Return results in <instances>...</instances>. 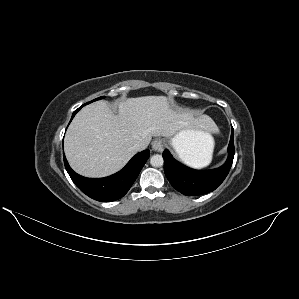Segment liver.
<instances>
[{
	"label": "liver",
	"instance_id": "liver-1",
	"mask_svg": "<svg viewBox=\"0 0 299 299\" xmlns=\"http://www.w3.org/2000/svg\"><path fill=\"white\" fill-rule=\"evenodd\" d=\"M115 115L106 102L84 107L73 119L64 139L70 166L86 177H105L120 169L135 155L138 141L149 144L152 137L171 138L190 120L172 108L165 96L128 98ZM195 127L209 128L205 121ZM210 129V128H209ZM210 130L218 132L214 125Z\"/></svg>",
	"mask_w": 299,
	"mask_h": 299
}]
</instances>
